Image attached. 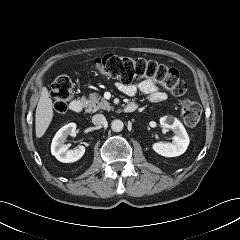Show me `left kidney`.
<instances>
[{"label":"left kidney","instance_id":"1","mask_svg":"<svg viewBox=\"0 0 240 240\" xmlns=\"http://www.w3.org/2000/svg\"><path fill=\"white\" fill-rule=\"evenodd\" d=\"M160 124L163 128L170 129L175 133L174 142H156L152 145L153 150L165 157H176L183 154L190 142L183 124L171 116L161 117Z\"/></svg>","mask_w":240,"mask_h":240}]
</instances>
